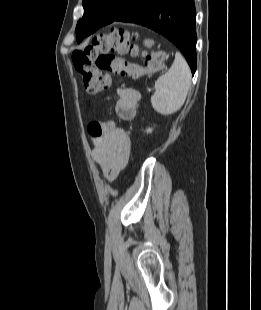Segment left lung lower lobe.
Here are the masks:
<instances>
[{"label":"left lung lower lobe","mask_w":261,"mask_h":310,"mask_svg":"<svg viewBox=\"0 0 261 310\" xmlns=\"http://www.w3.org/2000/svg\"><path fill=\"white\" fill-rule=\"evenodd\" d=\"M114 21L135 23L162 34L184 54L192 74L196 71V10L194 0H128L124 10L111 22H87L77 35L86 36Z\"/></svg>","instance_id":"1"}]
</instances>
